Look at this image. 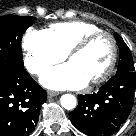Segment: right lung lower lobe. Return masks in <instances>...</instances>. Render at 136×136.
Instances as JSON below:
<instances>
[{"mask_svg":"<svg viewBox=\"0 0 136 136\" xmlns=\"http://www.w3.org/2000/svg\"><path fill=\"white\" fill-rule=\"evenodd\" d=\"M47 93L24 70L0 73V136H27Z\"/></svg>","mask_w":136,"mask_h":136,"instance_id":"1","label":"right lung lower lobe"}]
</instances>
